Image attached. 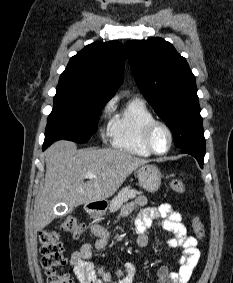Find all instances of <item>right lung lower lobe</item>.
I'll return each instance as SVG.
<instances>
[{"label":"right lung lower lobe","mask_w":233,"mask_h":283,"mask_svg":"<svg viewBox=\"0 0 233 283\" xmlns=\"http://www.w3.org/2000/svg\"><path fill=\"white\" fill-rule=\"evenodd\" d=\"M47 147H48V146H46V145H43V148H42V149H43V150H45V149H46Z\"/></svg>","instance_id":"98d812e1"}]
</instances>
